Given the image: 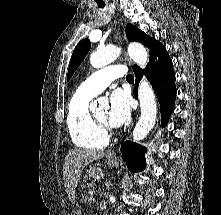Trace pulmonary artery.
I'll list each match as a JSON object with an SVG mask.
<instances>
[{
    "label": "pulmonary artery",
    "mask_w": 221,
    "mask_h": 215,
    "mask_svg": "<svg viewBox=\"0 0 221 215\" xmlns=\"http://www.w3.org/2000/svg\"><path fill=\"white\" fill-rule=\"evenodd\" d=\"M126 74L127 68L124 65L108 66L90 75L81 83L79 89L85 93L96 95L113 80L123 77Z\"/></svg>",
    "instance_id": "obj_1"
}]
</instances>
